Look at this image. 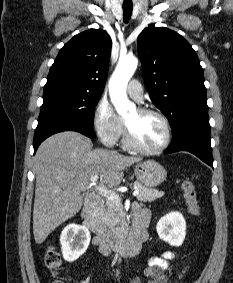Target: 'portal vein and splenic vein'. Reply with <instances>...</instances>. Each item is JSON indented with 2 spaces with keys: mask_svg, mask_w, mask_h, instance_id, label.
<instances>
[{
  "mask_svg": "<svg viewBox=\"0 0 233 283\" xmlns=\"http://www.w3.org/2000/svg\"><path fill=\"white\" fill-rule=\"evenodd\" d=\"M98 176L94 175L91 177V185L95 186L96 191H98L102 196L106 197L107 199L113 200V201H119L120 196L111 190H108L107 188H104L102 186H97L96 185V180ZM139 194V191L136 189L133 191L132 195L137 196Z\"/></svg>",
  "mask_w": 233,
  "mask_h": 283,
  "instance_id": "18ae733b",
  "label": "portal vein and splenic vein"
}]
</instances>
